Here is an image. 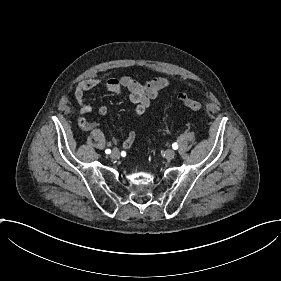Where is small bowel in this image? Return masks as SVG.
<instances>
[{"instance_id": "small-bowel-1", "label": "small bowel", "mask_w": 281, "mask_h": 281, "mask_svg": "<svg viewBox=\"0 0 281 281\" xmlns=\"http://www.w3.org/2000/svg\"><path fill=\"white\" fill-rule=\"evenodd\" d=\"M102 83L107 91L114 93H119L122 88H125L129 92L131 101L135 104L134 114L137 117L143 116L149 108L151 101L158 97L162 90L170 84L169 80L163 77H156L143 83L129 76L111 77L106 80L100 76L93 77L80 83L74 92L75 99L83 113H90L93 111L92 105L87 101L86 93ZM98 113L106 115L108 113V108L106 106H100L98 108ZM134 140L135 133L130 132L123 143V147H130Z\"/></svg>"}]
</instances>
